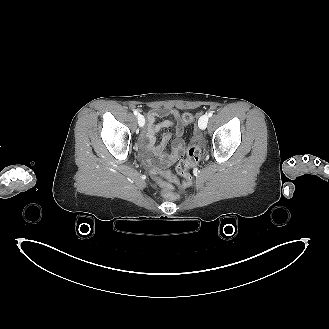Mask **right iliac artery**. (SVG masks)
Returning a JSON list of instances; mask_svg holds the SVG:
<instances>
[{
  "mask_svg": "<svg viewBox=\"0 0 329 329\" xmlns=\"http://www.w3.org/2000/svg\"><path fill=\"white\" fill-rule=\"evenodd\" d=\"M133 113H134V115H138V111L137 110H134Z\"/></svg>",
  "mask_w": 329,
  "mask_h": 329,
  "instance_id": "obj_1",
  "label": "right iliac artery"
}]
</instances>
